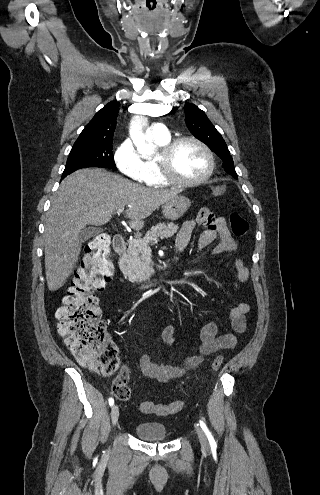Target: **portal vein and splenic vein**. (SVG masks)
Wrapping results in <instances>:
<instances>
[{"label": "portal vein and splenic vein", "instance_id": "18ae733b", "mask_svg": "<svg viewBox=\"0 0 320 495\" xmlns=\"http://www.w3.org/2000/svg\"><path fill=\"white\" fill-rule=\"evenodd\" d=\"M121 212H123V209L120 208V209L117 210L116 213L119 215ZM145 251H150V249H145Z\"/></svg>", "mask_w": 320, "mask_h": 495}]
</instances>
